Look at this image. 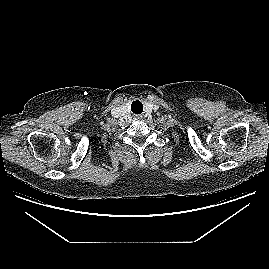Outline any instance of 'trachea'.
<instances>
[{"mask_svg": "<svg viewBox=\"0 0 269 269\" xmlns=\"http://www.w3.org/2000/svg\"><path fill=\"white\" fill-rule=\"evenodd\" d=\"M135 108L140 109V110H143V106H142V104L139 101H135L133 103L132 109H135Z\"/></svg>", "mask_w": 269, "mask_h": 269, "instance_id": "1", "label": "trachea"}]
</instances>
